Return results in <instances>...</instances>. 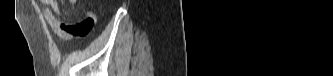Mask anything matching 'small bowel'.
<instances>
[{"mask_svg":"<svg viewBox=\"0 0 333 76\" xmlns=\"http://www.w3.org/2000/svg\"><path fill=\"white\" fill-rule=\"evenodd\" d=\"M71 5H78L79 0H69ZM43 14L49 26L62 38L86 39L95 25V15L87 12L86 19L78 23L64 22L60 19V10L56 0H42Z\"/></svg>","mask_w":333,"mask_h":76,"instance_id":"c3829d8e","label":"small bowel"}]
</instances>
